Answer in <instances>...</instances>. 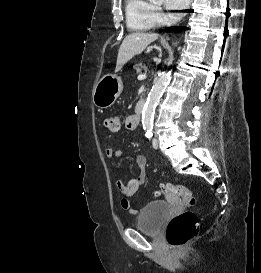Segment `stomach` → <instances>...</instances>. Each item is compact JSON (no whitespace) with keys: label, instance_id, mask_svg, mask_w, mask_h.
<instances>
[{"label":"stomach","instance_id":"stomach-1","mask_svg":"<svg viewBox=\"0 0 261 273\" xmlns=\"http://www.w3.org/2000/svg\"><path fill=\"white\" fill-rule=\"evenodd\" d=\"M123 90L121 77L114 74L104 75L93 90V103L99 108L110 107Z\"/></svg>","mask_w":261,"mask_h":273}]
</instances>
